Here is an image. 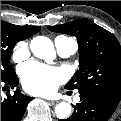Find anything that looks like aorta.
<instances>
[{"instance_id": "1", "label": "aorta", "mask_w": 121, "mask_h": 121, "mask_svg": "<svg viewBox=\"0 0 121 121\" xmlns=\"http://www.w3.org/2000/svg\"><path fill=\"white\" fill-rule=\"evenodd\" d=\"M30 49L40 59H52L55 55L52 41L45 36H37L31 40ZM71 113V105L61 102L55 107V114L60 119L67 118Z\"/></svg>"}]
</instances>
